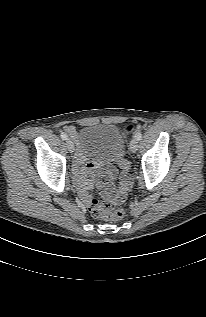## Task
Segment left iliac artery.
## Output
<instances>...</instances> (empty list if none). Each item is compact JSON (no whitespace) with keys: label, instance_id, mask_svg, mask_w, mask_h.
<instances>
[{"label":"left iliac artery","instance_id":"left-iliac-artery-1","mask_svg":"<svg viewBox=\"0 0 206 317\" xmlns=\"http://www.w3.org/2000/svg\"><path fill=\"white\" fill-rule=\"evenodd\" d=\"M135 137L138 141H140L142 139V134L138 132Z\"/></svg>","mask_w":206,"mask_h":317}]
</instances>
